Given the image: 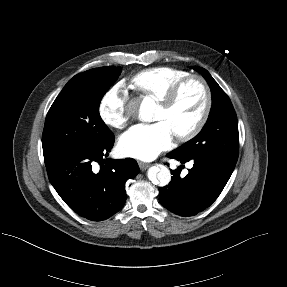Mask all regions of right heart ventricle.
I'll return each mask as SVG.
<instances>
[{"label": "right heart ventricle", "mask_w": 287, "mask_h": 287, "mask_svg": "<svg viewBox=\"0 0 287 287\" xmlns=\"http://www.w3.org/2000/svg\"><path fill=\"white\" fill-rule=\"evenodd\" d=\"M190 75L187 71L173 67H156L142 70L131 78L133 88L157 101L181 79Z\"/></svg>", "instance_id": "1"}]
</instances>
